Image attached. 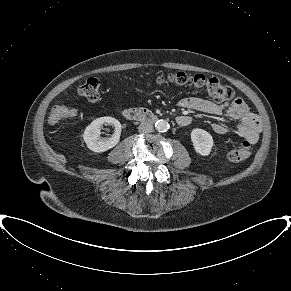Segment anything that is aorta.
<instances>
[{
    "mask_svg": "<svg viewBox=\"0 0 291 291\" xmlns=\"http://www.w3.org/2000/svg\"><path fill=\"white\" fill-rule=\"evenodd\" d=\"M169 123L165 120H158L155 123V128L158 132H166L169 129Z\"/></svg>",
    "mask_w": 291,
    "mask_h": 291,
    "instance_id": "1",
    "label": "aorta"
}]
</instances>
